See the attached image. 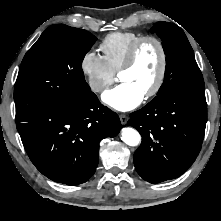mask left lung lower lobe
<instances>
[{
    "label": "left lung lower lobe",
    "mask_w": 221,
    "mask_h": 221,
    "mask_svg": "<svg viewBox=\"0 0 221 221\" xmlns=\"http://www.w3.org/2000/svg\"><path fill=\"white\" fill-rule=\"evenodd\" d=\"M141 136L134 153L138 174L150 183L182 175L198 156L207 122L205 95L168 91L130 114Z\"/></svg>",
    "instance_id": "obj_1"
}]
</instances>
